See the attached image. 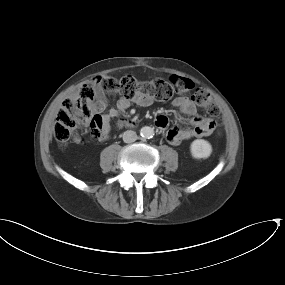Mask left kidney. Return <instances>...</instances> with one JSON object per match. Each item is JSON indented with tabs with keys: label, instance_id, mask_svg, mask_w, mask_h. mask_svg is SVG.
Segmentation results:
<instances>
[{
	"label": "left kidney",
	"instance_id": "1",
	"mask_svg": "<svg viewBox=\"0 0 285 285\" xmlns=\"http://www.w3.org/2000/svg\"><path fill=\"white\" fill-rule=\"evenodd\" d=\"M190 151L194 158L206 159L212 153V146L204 139H196L191 143Z\"/></svg>",
	"mask_w": 285,
	"mask_h": 285
}]
</instances>
